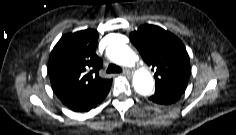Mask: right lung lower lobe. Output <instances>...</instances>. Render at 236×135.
<instances>
[{
  "label": "right lung lower lobe",
  "instance_id": "obj_1",
  "mask_svg": "<svg viewBox=\"0 0 236 135\" xmlns=\"http://www.w3.org/2000/svg\"><path fill=\"white\" fill-rule=\"evenodd\" d=\"M111 81L99 90L82 96L60 98L62 103L75 112H88L100 104L110 91Z\"/></svg>",
  "mask_w": 236,
  "mask_h": 135
}]
</instances>
